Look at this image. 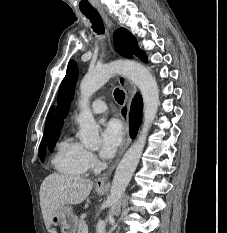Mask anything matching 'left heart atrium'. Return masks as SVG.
Segmentation results:
<instances>
[{"label":"left heart atrium","instance_id":"obj_1","mask_svg":"<svg viewBox=\"0 0 227 233\" xmlns=\"http://www.w3.org/2000/svg\"><path fill=\"white\" fill-rule=\"evenodd\" d=\"M122 129L120 124L115 120H110L104 124L101 131L100 156L103 159L111 158L122 141Z\"/></svg>","mask_w":227,"mask_h":233}]
</instances>
